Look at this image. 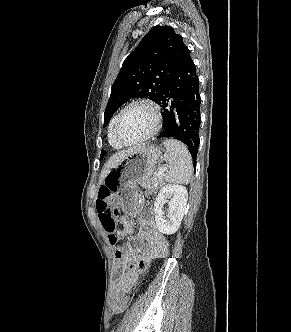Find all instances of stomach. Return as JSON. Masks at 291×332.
I'll list each match as a JSON object with an SVG mask.
<instances>
[{
	"label": "stomach",
	"mask_w": 291,
	"mask_h": 332,
	"mask_svg": "<svg viewBox=\"0 0 291 332\" xmlns=\"http://www.w3.org/2000/svg\"><path fill=\"white\" fill-rule=\"evenodd\" d=\"M161 158L159 147L136 148L110 169L104 178L103 186L112 192L127 213L135 214L139 210L141 196L136 185L152 176Z\"/></svg>",
	"instance_id": "stomach-1"
}]
</instances>
